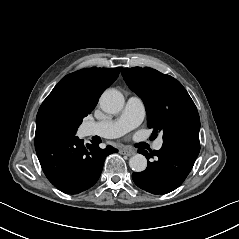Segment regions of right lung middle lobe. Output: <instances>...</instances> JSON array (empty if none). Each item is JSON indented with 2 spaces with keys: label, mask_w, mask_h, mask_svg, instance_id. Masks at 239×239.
Returning <instances> with one entry per match:
<instances>
[{
  "label": "right lung middle lobe",
  "mask_w": 239,
  "mask_h": 239,
  "mask_svg": "<svg viewBox=\"0 0 239 239\" xmlns=\"http://www.w3.org/2000/svg\"><path fill=\"white\" fill-rule=\"evenodd\" d=\"M90 112V109L64 97L53 98L39 108L36 130L56 128L75 134L83 118Z\"/></svg>",
  "instance_id": "obj_1"
}]
</instances>
